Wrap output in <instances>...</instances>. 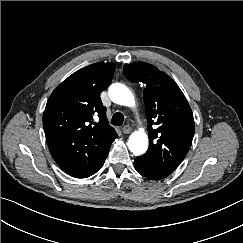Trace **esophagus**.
<instances>
[{"label": "esophagus", "instance_id": "34e87169", "mask_svg": "<svg viewBox=\"0 0 243 243\" xmlns=\"http://www.w3.org/2000/svg\"><path fill=\"white\" fill-rule=\"evenodd\" d=\"M131 130L132 129H131V127L129 125H125L122 128V131H123L124 134H129L131 132Z\"/></svg>", "mask_w": 243, "mask_h": 243}]
</instances>
